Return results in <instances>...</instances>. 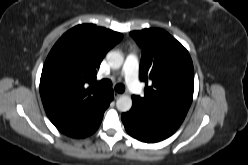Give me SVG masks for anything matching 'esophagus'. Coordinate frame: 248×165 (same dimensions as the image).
<instances>
[{"instance_id": "34e87169", "label": "esophagus", "mask_w": 248, "mask_h": 165, "mask_svg": "<svg viewBox=\"0 0 248 165\" xmlns=\"http://www.w3.org/2000/svg\"><path fill=\"white\" fill-rule=\"evenodd\" d=\"M122 95H123V94H121V93L115 92V93H114V98H115V99H118V98H120Z\"/></svg>"}]
</instances>
